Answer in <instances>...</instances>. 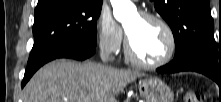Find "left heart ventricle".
<instances>
[{"instance_id":"obj_1","label":"left heart ventricle","mask_w":221,"mask_h":102,"mask_svg":"<svg viewBox=\"0 0 221 102\" xmlns=\"http://www.w3.org/2000/svg\"><path fill=\"white\" fill-rule=\"evenodd\" d=\"M125 27L132 46L141 59L147 62H156L165 56L169 41L160 24L136 14Z\"/></svg>"}]
</instances>
